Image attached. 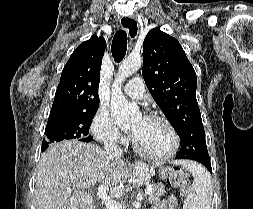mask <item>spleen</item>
Here are the masks:
<instances>
[{
  "label": "spleen",
  "instance_id": "spleen-1",
  "mask_svg": "<svg viewBox=\"0 0 253 209\" xmlns=\"http://www.w3.org/2000/svg\"><path fill=\"white\" fill-rule=\"evenodd\" d=\"M191 172L194 180L183 209H210L213 189L210 174L200 164L182 160L176 162Z\"/></svg>",
  "mask_w": 253,
  "mask_h": 209
}]
</instances>
